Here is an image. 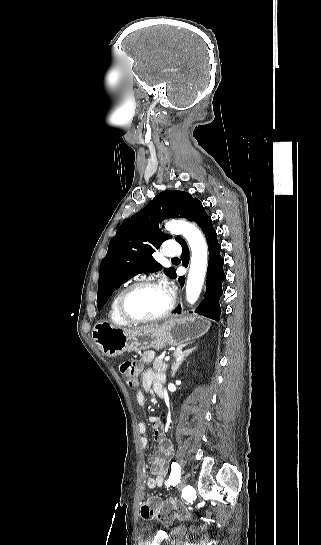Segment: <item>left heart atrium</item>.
Wrapping results in <instances>:
<instances>
[{"label":"left heart atrium","mask_w":321,"mask_h":545,"mask_svg":"<svg viewBox=\"0 0 321 545\" xmlns=\"http://www.w3.org/2000/svg\"><path fill=\"white\" fill-rule=\"evenodd\" d=\"M165 288H166V290H167L169 293H172L173 288L170 286L169 283L165 282Z\"/></svg>","instance_id":"obj_1"}]
</instances>
